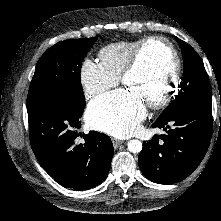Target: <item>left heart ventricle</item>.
<instances>
[{
    "mask_svg": "<svg viewBox=\"0 0 221 221\" xmlns=\"http://www.w3.org/2000/svg\"><path fill=\"white\" fill-rule=\"evenodd\" d=\"M173 62L167 47L159 42L148 45L141 53L137 68L125 81V87L145 104L155 100L166 89Z\"/></svg>",
    "mask_w": 221,
    "mask_h": 221,
    "instance_id": "left-heart-ventricle-1",
    "label": "left heart ventricle"
}]
</instances>
